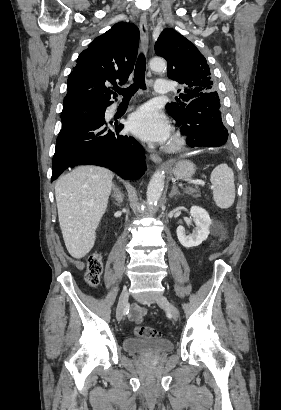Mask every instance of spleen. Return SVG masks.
<instances>
[{
	"instance_id": "spleen-1",
	"label": "spleen",
	"mask_w": 281,
	"mask_h": 410,
	"mask_svg": "<svg viewBox=\"0 0 281 410\" xmlns=\"http://www.w3.org/2000/svg\"><path fill=\"white\" fill-rule=\"evenodd\" d=\"M211 189L216 205L222 209L231 207L235 200L234 173L227 164L216 166L211 172Z\"/></svg>"
}]
</instances>
